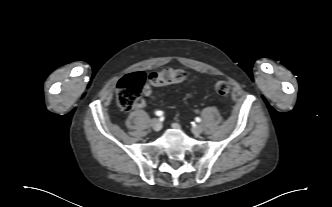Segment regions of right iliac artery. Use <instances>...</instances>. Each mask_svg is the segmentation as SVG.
<instances>
[{
  "mask_svg": "<svg viewBox=\"0 0 332 207\" xmlns=\"http://www.w3.org/2000/svg\"><path fill=\"white\" fill-rule=\"evenodd\" d=\"M155 114H156L157 116H162V115H163V112H162V111H156Z\"/></svg>",
  "mask_w": 332,
  "mask_h": 207,
  "instance_id": "82829eb1",
  "label": "right iliac artery"
}]
</instances>
